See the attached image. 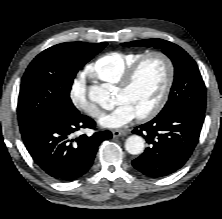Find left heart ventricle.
Listing matches in <instances>:
<instances>
[{
  "label": "left heart ventricle",
  "instance_id": "obj_1",
  "mask_svg": "<svg viewBox=\"0 0 222 219\" xmlns=\"http://www.w3.org/2000/svg\"><path fill=\"white\" fill-rule=\"evenodd\" d=\"M166 81V67L158 57L147 59L140 67L132 85L126 90L117 89L115 104L127 103L137 115L152 108L159 99Z\"/></svg>",
  "mask_w": 222,
  "mask_h": 219
}]
</instances>
